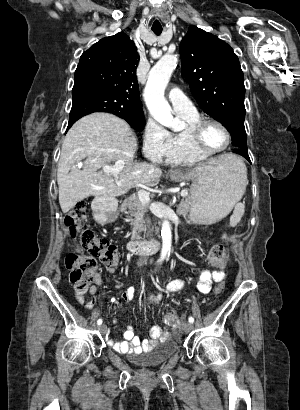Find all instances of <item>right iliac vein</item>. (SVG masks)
Instances as JSON below:
<instances>
[{
	"label": "right iliac vein",
	"instance_id": "1",
	"mask_svg": "<svg viewBox=\"0 0 300 410\" xmlns=\"http://www.w3.org/2000/svg\"><path fill=\"white\" fill-rule=\"evenodd\" d=\"M98 330L102 333V334H104V333H106V330H107V327H106V325H101V326H99L98 327Z\"/></svg>",
	"mask_w": 300,
	"mask_h": 410
}]
</instances>
